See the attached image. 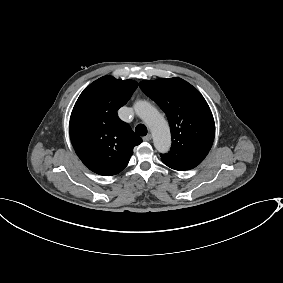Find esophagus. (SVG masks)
Returning <instances> with one entry per match:
<instances>
[{"label":"esophagus","mask_w":283,"mask_h":283,"mask_svg":"<svg viewBox=\"0 0 283 283\" xmlns=\"http://www.w3.org/2000/svg\"><path fill=\"white\" fill-rule=\"evenodd\" d=\"M151 138H152V135L149 133V134H147L146 136L143 137V140L149 141V140H151Z\"/></svg>","instance_id":"1"}]
</instances>
